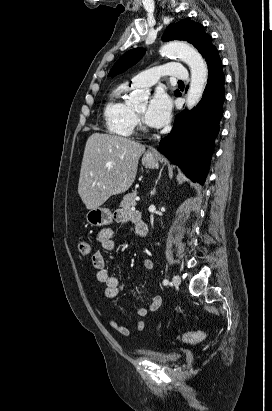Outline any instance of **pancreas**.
Returning a JSON list of instances; mask_svg holds the SVG:
<instances>
[{
  "instance_id": "obj_1",
  "label": "pancreas",
  "mask_w": 272,
  "mask_h": 411,
  "mask_svg": "<svg viewBox=\"0 0 272 411\" xmlns=\"http://www.w3.org/2000/svg\"><path fill=\"white\" fill-rule=\"evenodd\" d=\"M137 197L136 192L128 193L123 197V200L120 204V207L123 209H130L134 206H136V201L135 198Z\"/></svg>"
}]
</instances>
